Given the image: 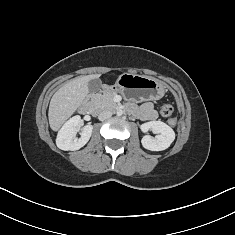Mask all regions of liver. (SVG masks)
<instances>
[{
  "mask_svg": "<svg viewBox=\"0 0 235 235\" xmlns=\"http://www.w3.org/2000/svg\"><path fill=\"white\" fill-rule=\"evenodd\" d=\"M99 77L100 74L76 77L55 92L48 111L49 125L53 131H58L80 107L89 93L88 82Z\"/></svg>",
  "mask_w": 235,
  "mask_h": 235,
  "instance_id": "1",
  "label": "liver"
}]
</instances>
